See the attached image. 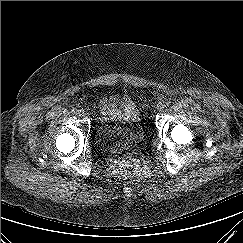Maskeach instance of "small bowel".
I'll use <instances>...</instances> for the list:
<instances>
[{
	"label": "small bowel",
	"mask_w": 243,
	"mask_h": 243,
	"mask_svg": "<svg viewBox=\"0 0 243 243\" xmlns=\"http://www.w3.org/2000/svg\"><path fill=\"white\" fill-rule=\"evenodd\" d=\"M118 96L113 95L110 97H104L100 101V110L104 116L116 118L120 114V110L117 106Z\"/></svg>",
	"instance_id": "1"
}]
</instances>
